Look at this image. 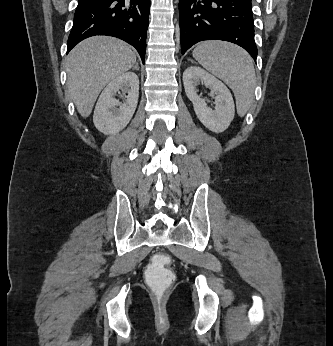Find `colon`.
I'll use <instances>...</instances> for the list:
<instances>
[{
	"instance_id": "5ec220e1",
	"label": "colon",
	"mask_w": 333,
	"mask_h": 346,
	"mask_svg": "<svg viewBox=\"0 0 333 346\" xmlns=\"http://www.w3.org/2000/svg\"><path fill=\"white\" fill-rule=\"evenodd\" d=\"M150 263L144 269V278L147 280L148 288H151V293L155 299H164L165 294H168V288L172 287V280L175 275L171 269H167L170 263V257L166 254H157L150 258Z\"/></svg>"
}]
</instances>
